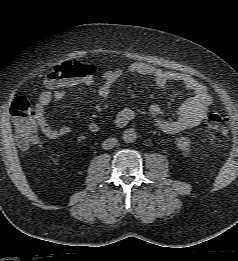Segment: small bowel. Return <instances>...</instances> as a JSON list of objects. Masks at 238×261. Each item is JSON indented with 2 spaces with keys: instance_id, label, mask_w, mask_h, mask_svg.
Returning a JSON list of instances; mask_svg holds the SVG:
<instances>
[{
  "instance_id": "c3829d8e",
  "label": "small bowel",
  "mask_w": 238,
  "mask_h": 261,
  "mask_svg": "<svg viewBox=\"0 0 238 261\" xmlns=\"http://www.w3.org/2000/svg\"><path fill=\"white\" fill-rule=\"evenodd\" d=\"M127 73L151 76L159 87H164L169 82H176L191 91V97H189L171 117H166L158 105L153 104L149 106L147 114L151 117L156 127L162 132L166 134L180 133L197 126L206 117L212 103V98L204 84L188 74L162 70L146 62H133L125 68L105 71L103 74V84L98 89V95L104 99L108 98L112 85ZM93 81V76H87L68 85L56 88L50 87L40 94L35 107V118L37 125L46 137L56 139L66 136L71 132V128L67 125L56 128L49 123L46 117V108L48 105L52 101L63 100L68 88L78 84L89 86L93 84ZM139 113L140 112L134 108H124L114 117L113 123L117 127H124L133 121ZM88 130L91 133H96L99 131V125L96 122H90L88 124Z\"/></svg>"
}]
</instances>
